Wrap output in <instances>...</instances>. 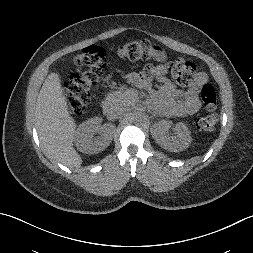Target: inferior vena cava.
<instances>
[{
  "label": "inferior vena cava",
  "mask_w": 253,
  "mask_h": 253,
  "mask_svg": "<svg viewBox=\"0 0 253 253\" xmlns=\"http://www.w3.org/2000/svg\"><path fill=\"white\" fill-rule=\"evenodd\" d=\"M126 113V109L122 102H112L107 109V118L109 120L122 118Z\"/></svg>",
  "instance_id": "1"
}]
</instances>
